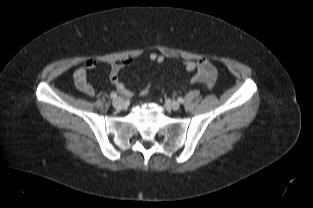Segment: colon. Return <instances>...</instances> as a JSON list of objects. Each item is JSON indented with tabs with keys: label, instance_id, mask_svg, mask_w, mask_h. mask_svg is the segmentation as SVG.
<instances>
[{
	"label": "colon",
	"instance_id": "obj_1",
	"mask_svg": "<svg viewBox=\"0 0 313 208\" xmlns=\"http://www.w3.org/2000/svg\"><path fill=\"white\" fill-rule=\"evenodd\" d=\"M206 86L209 88V89H212L215 85V77L214 78H211L209 79L206 83ZM149 93V87H144L142 90H141V94L142 95H147Z\"/></svg>",
	"mask_w": 313,
	"mask_h": 208
}]
</instances>
